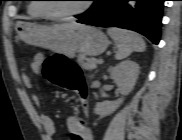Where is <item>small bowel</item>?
I'll return each mask as SVG.
<instances>
[{"instance_id": "obj_1", "label": "small bowel", "mask_w": 182, "mask_h": 140, "mask_svg": "<svg viewBox=\"0 0 182 140\" xmlns=\"http://www.w3.org/2000/svg\"><path fill=\"white\" fill-rule=\"evenodd\" d=\"M45 58L42 54H36L30 63V72L33 74H38L41 71V68L44 64ZM24 83L26 86L30 87L32 85V79L29 74H24ZM32 101L36 106H40V99L37 95L32 96ZM41 126L44 130L45 137L47 140H53L56 126L53 119L47 114H41L39 117ZM67 129L70 132L71 136L79 134L81 140H93L91 130L80 123V120L76 117H69L66 122Z\"/></svg>"}]
</instances>
